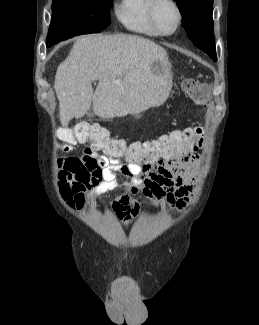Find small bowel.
I'll use <instances>...</instances> for the list:
<instances>
[{
	"label": "small bowel",
	"instance_id": "obj_1",
	"mask_svg": "<svg viewBox=\"0 0 259 325\" xmlns=\"http://www.w3.org/2000/svg\"><path fill=\"white\" fill-rule=\"evenodd\" d=\"M197 150L175 149L152 160L131 162L98 155L95 149L87 148L83 156L77 158L79 164L74 158L58 161V187L65 199L79 207L86 198L123 187L113 200L111 210L117 220L128 224L138 214V203L134 199L138 194L157 203L166 201L172 207L186 205L195 188L191 168L198 159Z\"/></svg>",
	"mask_w": 259,
	"mask_h": 325
}]
</instances>
